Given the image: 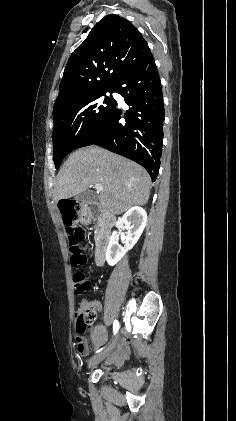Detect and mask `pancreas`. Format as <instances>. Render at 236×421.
Segmentation results:
<instances>
[{"mask_svg": "<svg viewBox=\"0 0 236 421\" xmlns=\"http://www.w3.org/2000/svg\"><path fill=\"white\" fill-rule=\"evenodd\" d=\"M100 227H102V223L101 221H98L96 225L95 237H98V235H100Z\"/></svg>", "mask_w": 236, "mask_h": 421, "instance_id": "cf45deb5", "label": "pancreas"}]
</instances>
